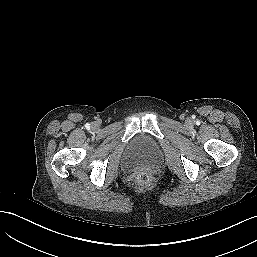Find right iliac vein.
<instances>
[{
    "label": "right iliac vein",
    "instance_id": "63e3f726",
    "mask_svg": "<svg viewBox=\"0 0 257 257\" xmlns=\"http://www.w3.org/2000/svg\"><path fill=\"white\" fill-rule=\"evenodd\" d=\"M91 127H92V129H94V130H95V129H97L98 124H97V123H92V126H91Z\"/></svg>",
    "mask_w": 257,
    "mask_h": 257
}]
</instances>
